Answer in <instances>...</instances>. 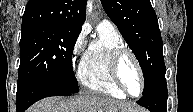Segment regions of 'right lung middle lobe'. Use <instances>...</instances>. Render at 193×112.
I'll list each match as a JSON object with an SVG mask.
<instances>
[{
  "label": "right lung middle lobe",
  "mask_w": 193,
  "mask_h": 112,
  "mask_svg": "<svg viewBox=\"0 0 193 112\" xmlns=\"http://www.w3.org/2000/svg\"><path fill=\"white\" fill-rule=\"evenodd\" d=\"M81 28L36 26L22 30L17 90L33 85L77 93L72 53Z\"/></svg>",
  "instance_id": "1"
}]
</instances>
